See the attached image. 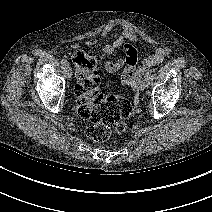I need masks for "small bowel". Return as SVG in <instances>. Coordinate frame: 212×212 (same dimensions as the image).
<instances>
[{
    "label": "small bowel",
    "instance_id": "c3829d8e",
    "mask_svg": "<svg viewBox=\"0 0 212 212\" xmlns=\"http://www.w3.org/2000/svg\"><path fill=\"white\" fill-rule=\"evenodd\" d=\"M117 26H119V24L115 22L106 24L102 28L99 38H90L86 41L76 42L71 45L70 50L75 53L77 51H81L84 48H91L96 46L107 36L109 32L114 30ZM120 27L121 31L118 38L110 43H107L103 47V53L111 56L120 50L122 57L115 61H105L104 67L110 72L123 70L122 77L127 76L131 80V85L136 87L140 83L143 72L160 64L167 56L168 49L158 48L153 54L144 57L142 60H139L138 51L134 45L131 44L137 42L136 34L129 25L123 24L120 25Z\"/></svg>",
    "mask_w": 212,
    "mask_h": 212
}]
</instances>
